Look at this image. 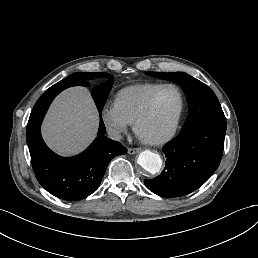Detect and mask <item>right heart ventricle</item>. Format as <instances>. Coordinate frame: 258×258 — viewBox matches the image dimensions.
Listing matches in <instances>:
<instances>
[{
	"label": "right heart ventricle",
	"mask_w": 258,
	"mask_h": 258,
	"mask_svg": "<svg viewBox=\"0 0 258 258\" xmlns=\"http://www.w3.org/2000/svg\"><path fill=\"white\" fill-rule=\"evenodd\" d=\"M158 86L160 85L154 83L134 85L123 88L116 94L114 104L128 123H134L147 98Z\"/></svg>",
	"instance_id": "e07e8e85"
}]
</instances>
